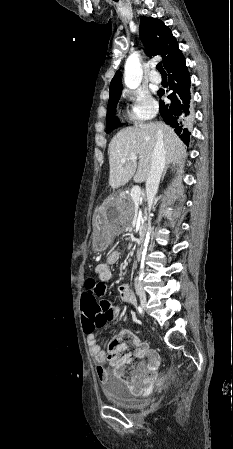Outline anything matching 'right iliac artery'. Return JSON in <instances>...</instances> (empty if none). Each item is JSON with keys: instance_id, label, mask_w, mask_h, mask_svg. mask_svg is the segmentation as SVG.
<instances>
[{"instance_id": "right-iliac-artery-1", "label": "right iliac artery", "mask_w": 233, "mask_h": 449, "mask_svg": "<svg viewBox=\"0 0 233 449\" xmlns=\"http://www.w3.org/2000/svg\"><path fill=\"white\" fill-rule=\"evenodd\" d=\"M137 310H138V312H139L140 314L143 313V310H142V308H141L140 306H137Z\"/></svg>"}]
</instances>
